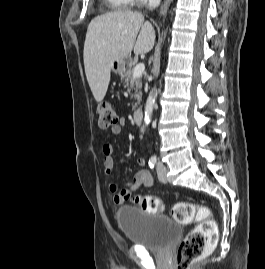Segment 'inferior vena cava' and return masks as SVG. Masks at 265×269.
I'll return each instance as SVG.
<instances>
[{
    "instance_id": "obj_1",
    "label": "inferior vena cava",
    "mask_w": 265,
    "mask_h": 269,
    "mask_svg": "<svg viewBox=\"0 0 265 269\" xmlns=\"http://www.w3.org/2000/svg\"><path fill=\"white\" fill-rule=\"evenodd\" d=\"M161 0H149V8L153 9L160 4Z\"/></svg>"
}]
</instances>
